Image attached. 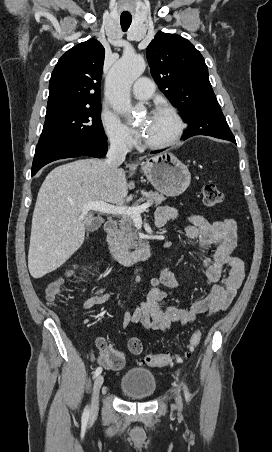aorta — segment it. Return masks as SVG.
I'll return each instance as SVG.
<instances>
[{
  "label": "aorta",
  "mask_w": 272,
  "mask_h": 452,
  "mask_svg": "<svg viewBox=\"0 0 272 452\" xmlns=\"http://www.w3.org/2000/svg\"><path fill=\"white\" fill-rule=\"evenodd\" d=\"M145 68L142 57L125 54L109 71L106 78V96L117 113L129 115L135 110L131 104L130 88Z\"/></svg>",
  "instance_id": "1"
}]
</instances>
